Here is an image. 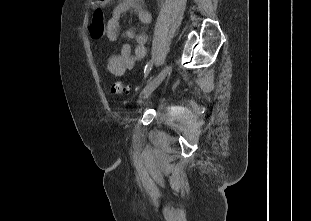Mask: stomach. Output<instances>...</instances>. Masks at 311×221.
Here are the masks:
<instances>
[{
  "label": "stomach",
  "instance_id": "stomach-1",
  "mask_svg": "<svg viewBox=\"0 0 311 221\" xmlns=\"http://www.w3.org/2000/svg\"><path fill=\"white\" fill-rule=\"evenodd\" d=\"M98 2H100V4H106L107 0H98Z\"/></svg>",
  "mask_w": 311,
  "mask_h": 221
}]
</instances>
